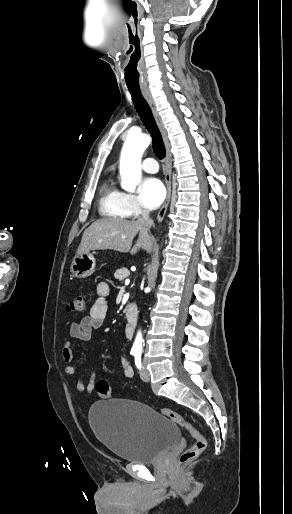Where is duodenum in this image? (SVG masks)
<instances>
[{
    "label": "duodenum",
    "mask_w": 292,
    "mask_h": 514,
    "mask_svg": "<svg viewBox=\"0 0 292 514\" xmlns=\"http://www.w3.org/2000/svg\"><path fill=\"white\" fill-rule=\"evenodd\" d=\"M127 313V325L126 331L127 333H131L136 325V321L138 318V308L135 303H128L126 306Z\"/></svg>",
    "instance_id": "1"
}]
</instances>
